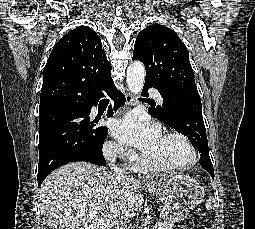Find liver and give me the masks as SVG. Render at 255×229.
<instances>
[{"mask_svg": "<svg viewBox=\"0 0 255 229\" xmlns=\"http://www.w3.org/2000/svg\"><path fill=\"white\" fill-rule=\"evenodd\" d=\"M141 182L112 175L89 162L68 163L39 189L41 214L50 229H111L141 206Z\"/></svg>", "mask_w": 255, "mask_h": 229, "instance_id": "1", "label": "liver"}]
</instances>
